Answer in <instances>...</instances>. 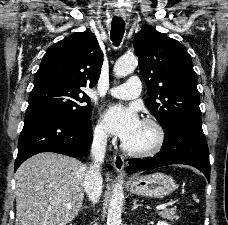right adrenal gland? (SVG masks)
Here are the masks:
<instances>
[{
    "label": "right adrenal gland",
    "instance_id": "1",
    "mask_svg": "<svg viewBox=\"0 0 228 225\" xmlns=\"http://www.w3.org/2000/svg\"><path fill=\"white\" fill-rule=\"evenodd\" d=\"M84 209H89V207H84Z\"/></svg>",
    "mask_w": 228,
    "mask_h": 225
}]
</instances>
